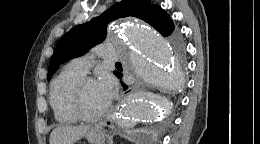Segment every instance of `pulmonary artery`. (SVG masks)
Masks as SVG:
<instances>
[{
  "label": "pulmonary artery",
  "instance_id": "obj_1",
  "mask_svg": "<svg viewBox=\"0 0 260 144\" xmlns=\"http://www.w3.org/2000/svg\"><path fill=\"white\" fill-rule=\"evenodd\" d=\"M95 56H101L106 61H115L119 59L117 51L111 45L100 44L91 54H85L73 59L71 65L85 74L93 63Z\"/></svg>",
  "mask_w": 260,
  "mask_h": 144
}]
</instances>
